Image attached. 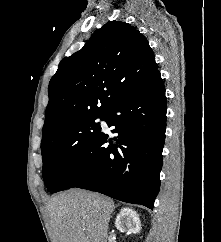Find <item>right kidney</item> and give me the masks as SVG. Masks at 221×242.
<instances>
[{"mask_svg": "<svg viewBox=\"0 0 221 242\" xmlns=\"http://www.w3.org/2000/svg\"><path fill=\"white\" fill-rule=\"evenodd\" d=\"M115 226L120 232L139 233L141 223L136 211L129 207L121 209L116 217Z\"/></svg>", "mask_w": 221, "mask_h": 242, "instance_id": "1", "label": "right kidney"}]
</instances>
